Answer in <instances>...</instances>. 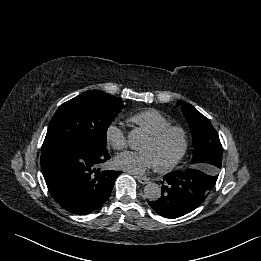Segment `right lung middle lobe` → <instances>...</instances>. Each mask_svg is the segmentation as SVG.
<instances>
[{"label": "right lung middle lobe", "instance_id": "1", "mask_svg": "<svg viewBox=\"0 0 261 261\" xmlns=\"http://www.w3.org/2000/svg\"><path fill=\"white\" fill-rule=\"evenodd\" d=\"M123 107L122 100L99 90L65 102L48 126L41 152L69 147L106 149L107 129Z\"/></svg>", "mask_w": 261, "mask_h": 261}]
</instances>
